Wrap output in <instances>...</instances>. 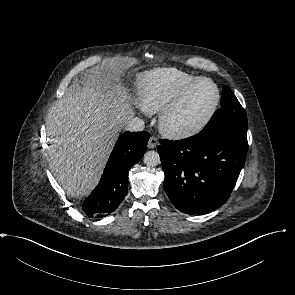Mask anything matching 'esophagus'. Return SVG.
Returning <instances> with one entry per match:
<instances>
[{
    "label": "esophagus",
    "mask_w": 295,
    "mask_h": 295,
    "mask_svg": "<svg viewBox=\"0 0 295 295\" xmlns=\"http://www.w3.org/2000/svg\"><path fill=\"white\" fill-rule=\"evenodd\" d=\"M158 145V139L155 136H152L148 141V148L153 149Z\"/></svg>",
    "instance_id": "1"
}]
</instances>
